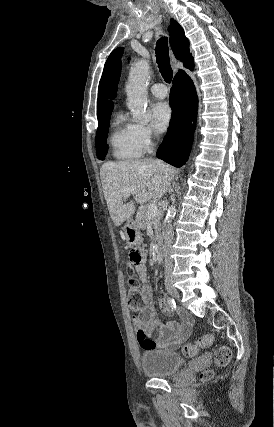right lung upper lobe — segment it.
<instances>
[{"label": "right lung upper lobe", "mask_w": 274, "mask_h": 427, "mask_svg": "<svg viewBox=\"0 0 274 427\" xmlns=\"http://www.w3.org/2000/svg\"><path fill=\"white\" fill-rule=\"evenodd\" d=\"M169 32L170 44L176 58L184 61L185 67L192 65L193 58L190 56L189 53V41L185 37L182 27L178 24V22L173 19H171V26L169 27ZM122 53V47L115 49L109 55L105 63L103 74L99 83L97 113L113 107V103L111 101H108L106 97V86L112 67L121 57Z\"/></svg>", "instance_id": "1"}]
</instances>
